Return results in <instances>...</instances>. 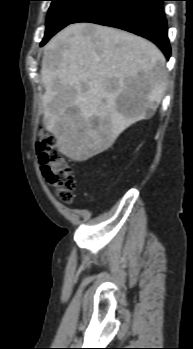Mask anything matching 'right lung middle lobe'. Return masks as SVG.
Segmentation results:
<instances>
[{
    "label": "right lung middle lobe",
    "instance_id": "dd1d6c3e",
    "mask_svg": "<svg viewBox=\"0 0 193 349\" xmlns=\"http://www.w3.org/2000/svg\"><path fill=\"white\" fill-rule=\"evenodd\" d=\"M43 46L55 33L72 23L98 0H50Z\"/></svg>",
    "mask_w": 193,
    "mask_h": 349
}]
</instances>
